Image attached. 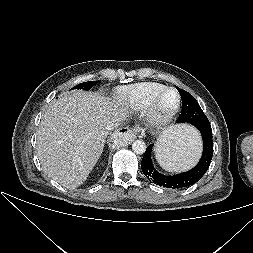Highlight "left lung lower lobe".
Listing matches in <instances>:
<instances>
[{"label": "left lung lower lobe", "instance_id": "1", "mask_svg": "<svg viewBox=\"0 0 253 253\" xmlns=\"http://www.w3.org/2000/svg\"><path fill=\"white\" fill-rule=\"evenodd\" d=\"M191 124L195 125L202 134L203 154L199 163L193 169L181 174L172 176L162 175L153 167L151 160L153 144H151L147 147L141 162V169L150 182L166 188L179 189L193 185L206 173L213 156L212 129L206 118L205 121L199 120L197 123Z\"/></svg>", "mask_w": 253, "mask_h": 253}]
</instances>
